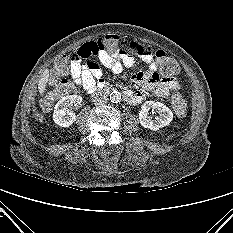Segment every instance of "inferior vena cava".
<instances>
[{
	"label": "inferior vena cava",
	"instance_id": "inferior-vena-cava-1",
	"mask_svg": "<svg viewBox=\"0 0 233 233\" xmlns=\"http://www.w3.org/2000/svg\"><path fill=\"white\" fill-rule=\"evenodd\" d=\"M107 100L108 99L105 96H102V95H99V94H97L95 96V98H94V102L97 105H103V104L107 103Z\"/></svg>",
	"mask_w": 233,
	"mask_h": 233
}]
</instances>
